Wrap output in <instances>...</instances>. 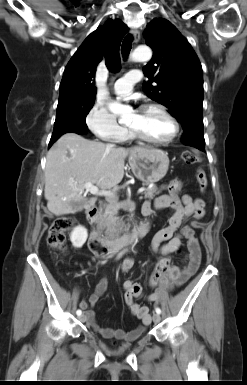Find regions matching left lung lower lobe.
Masks as SVG:
<instances>
[{
  "mask_svg": "<svg viewBox=\"0 0 247 385\" xmlns=\"http://www.w3.org/2000/svg\"><path fill=\"white\" fill-rule=\"evenodd\" d=\"M181 140L185 145L204 150L205 140L203 127H190L185 129Z\"/></svg>",
  "mask_w": 247,
  "mask_h": 385,
  "instance_id": "1",
  "label": "left lung lower lobe"
}]
</instances>
